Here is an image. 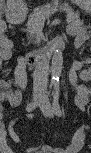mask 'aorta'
<instances>
[{"instance_id": "762f6f07", "label": "aorta", "mask_w": 91, "mask_h": 153, "mask_svg": "<svg viewBox=\"0 0 91 153\" xmlns=\"http://www.w3.org/2000/svg\"><path fill=\"white\" fill-rule=\"evenodd\" d=\"M63 67V55L60 50H55L53 57H52V64H51V81L54 85L59 84V78L61 76Z\"/></svg>"}]
</instances>
